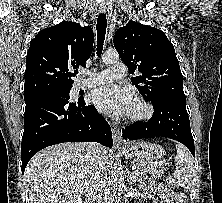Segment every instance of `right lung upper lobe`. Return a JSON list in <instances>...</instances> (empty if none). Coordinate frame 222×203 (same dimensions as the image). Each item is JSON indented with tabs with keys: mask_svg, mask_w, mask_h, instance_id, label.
Listing matches in <instances>:
<instances>
[{
	"mask_svg": "<svg viewBox=\"0 0 222 203\" xmlns=\"http://www.w3.org/2000/svg\"><path fill=\"white\" fill-rule=\"evenodd\" d=\"M93 42L92 29L72 21L40 31L26 56L24 93L72 86V71L85 67Z\"/></svg>",
	"mask_w": 222,
	"mask_h": 203,
	"instance_id": "right-lung-upper-lobe-1",
	"label": "right lung upper lobe"
}]
</instances>
